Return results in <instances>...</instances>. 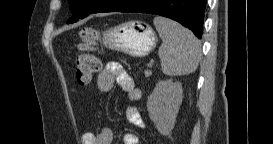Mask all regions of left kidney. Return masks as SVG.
<instances>
[{"label":"left kidney","mask_w":273,"mask_h":144,"mask_svg":"<svg viewBox=\"0 0 273 144\" xmlns=\"http://www.w3.org/2000/svg\"><path fill=\"white\" fill-rule=\"evenodd\" d=\"M183 89L179 82L160 80L147 100L150 119L162 135H170L182 103Z\"/></svg>","instance_id":"obj_1"}]
</instances>
